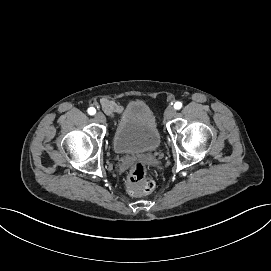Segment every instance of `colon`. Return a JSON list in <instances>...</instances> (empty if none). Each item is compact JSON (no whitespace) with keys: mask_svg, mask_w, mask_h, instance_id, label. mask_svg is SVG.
<instances>
[{"mask_svg":"<svg viewBox=\"0 0 271 271\" xmlns=\"http://www.w3.org/2000/svg\"><path fill=\"white\" fill-rule=\"evenodd\" d=\"M127 190L131 195L142 196L152 192L154 181L149 177V168L142 162L134 163L126 180Z\"/></svg>","mask_w":271,"mask_h":271,"instance_id":"obj_1","label":"colon"}]
</instances>
